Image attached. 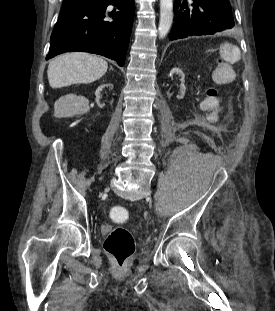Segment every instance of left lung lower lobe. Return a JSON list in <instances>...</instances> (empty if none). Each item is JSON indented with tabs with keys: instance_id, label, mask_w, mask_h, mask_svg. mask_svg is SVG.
<instances>
[{
	"instance_id": "0a47b994",
	"label": "left lung lower lobe",
	"mask_w": 275,
	"mask_h": 311,
	"mask_svg": "<svg viewBox=\"0 0 275 311\" xmlns=\"http://www.w3.org/2000/svg\"><path fill=\"white\" fill-rule=\"evenodd\" d=\"M169 40L211 35L234 27L229 0H175Z\"/></svg>"
}]
</instances>
